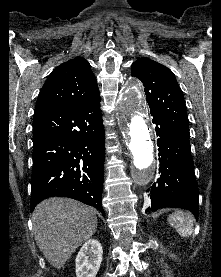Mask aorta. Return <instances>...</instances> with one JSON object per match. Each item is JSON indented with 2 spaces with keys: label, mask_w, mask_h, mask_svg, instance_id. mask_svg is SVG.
I'll return each instance as SVG.
<instances>
[{
  "label": "aorta",
  "mask_w": 221,
  "mask_h": 277,
  "mask_svg": "<svg viewBox=\"0 0 221 277\" xmlns=\"http://www.w3.org/2000/svg\"><path fill=\"white\" fill-rule=\"evenodd\" d=\"M116 109L133 156V181L137 185H146L154 177L156 161L149 120L138 81L132 79L128 81L120 94Z\"/></svg>",
  "instance_id": "762f6f07"
}]
</instances>
